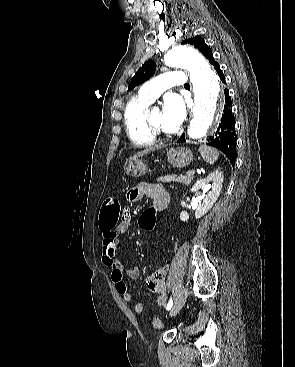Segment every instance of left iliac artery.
Masks as SVG:
<instances>
[{
    "instance_id": "left-iliac-artery-1",
    "label": "left iliac artery",
    "mask_w": 295,
    "mask_h": 367,
    "mask_svg": "<svg viewBox=\"0 0 295 367\" xmlns=\"http://www.w3.org/2000/svg\"><path fill=\"white\" fill-rule=\"evenodd\" d=\"M172 306H173V300H172V298H170V300H169V302L166 306V310H170L172 308Z\"/></svg>"
}]
</instances>
